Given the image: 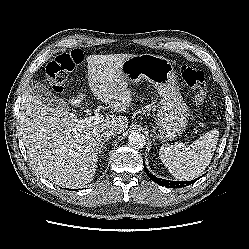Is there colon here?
I'll return each instance as SVG.
<instances>
[{
	"label": "colon",
	"instance_id": "5ec220e1",
	"mask_svg": "<svg viewBox=\"0 0 249 249\" xmlns=\"http://www.w3.org/2000/svg\"><path fill=\"white\" fill-rule=\"evenodd\" d=\"M82 60L83 54L78 49L59 54L46 68L49 87L56 93L63 92L68 76ZM180 73L184 82L193 91L195 102L198 105H203L208 96V88L203 71L184 64L180 68Z\"/></svg>",
	"mask_w": 249,
	"mask_h": 249
}]
</instances>
